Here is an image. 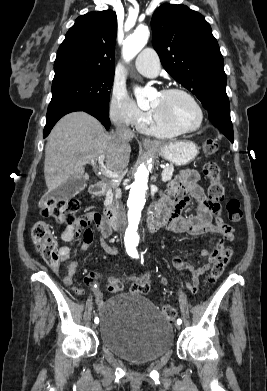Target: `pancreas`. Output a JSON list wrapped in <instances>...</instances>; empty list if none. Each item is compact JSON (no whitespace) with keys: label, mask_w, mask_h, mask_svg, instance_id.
I'll use <instances>...</instances> for the list:
<instances>
[{"label":"pancreas","mask_w":267,"mask_h":391,"mask_svg":"<svg viewBox=\"0 0 267 391\" xmlns=\"http://www.w3.org/2000/svg\"><path fill=\"white\" fill-rule=\"evenodd\" d=\"M174 172L173 165L167 166L163 169L162 172V180L167 182L170 181ZM119 183L111 181L108 183V188L106 191V199L104 205L108 208L113 207L115 205V201L119 198L121 191L118 188Z\"/></svg>","instance_id":"pancreas-1"}]
</instances>
